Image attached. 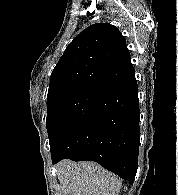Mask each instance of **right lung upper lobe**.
Wrapping results in <instances>:
<instances>
[{"instance_id":"1","label":"right lung upper lobe","mask_w":178,"mask_h":195,"mask_svg":"<svg viewBox=\"0 0 178 195\" xmlns=\"http://www.w3.org/2000/svg\"><path fill=\"white\" fill-rule=\"evenodd\" d=\"M135 75L125 38L108 23L83 30L52 71L47 99L74 91L99 92Z\"/></svg>"}]
</instances>
